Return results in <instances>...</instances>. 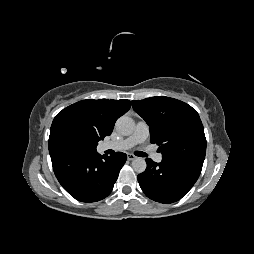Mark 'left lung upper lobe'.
Instances as JSON below:
<instances>
[{
    "label": "left lung upper lobe",
    "mask_w": 254,
    "mask_h": 254,
    "mask_svg": "<svg viewBox=\"0 0 254 254\" xmlns=\"http://www.w3.org/2000/svg\"><path fill=\"white\" fill-rule=\"evenodd\" d=\"M132 107L149 125L151 143L160 146L162 161L203 166L206 138L195 109L165 96L134 100Z\"/></svg>",
    "instance_id": "1"
}]
</instances>
